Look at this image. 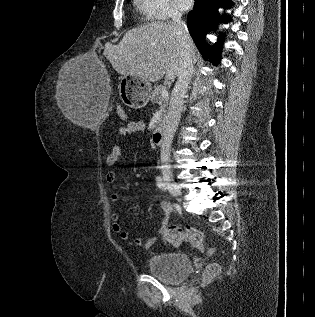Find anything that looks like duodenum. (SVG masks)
Listing matches in <instances>:
<instances>
[{"label": "duodenum", "mask_w": 315, "mask_h": 317, "mask_svg": "<svg viewBox=\"0 0 315 317\" xmlns=\"http://www.w3.org/2000/svg\"><path fill=\"white\" fill-rule=\"evenodd\" d=\"M165 130L162 126L156 127V129L153 132V140L157 145H163L165 141Z\"/></svg>", "instance_id": "1"}]
</instances>
